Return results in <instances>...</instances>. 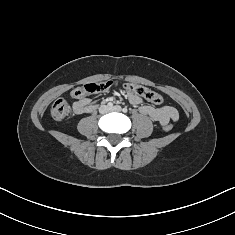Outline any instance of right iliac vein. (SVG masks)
<instances>
[{
	"label": "right iliac vein",
	"mask_w": 235,
	"mask_h": 235,
	"mask_svg": "<svg viewBox=\"0 0 235 235\" xmlns=\"http://www.w3.org/2000/svg\"><path fill=\"white\" fill-rule=\"evenodd\" d=\"M108 111V107L107 106H102L101 107V112L102 113H106Z\"/></svg>",
	"instance_id": "1"
}]
</instances>
